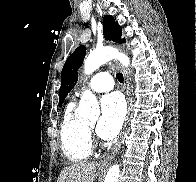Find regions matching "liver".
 Wrapping results in <instances>:
<instances>
[{"mask_svg":"<svg viewBox=\"0 0 196 182\" xmlns=\"http://www.w3.org/2000/svg\"><path fill=\"white\" fill-rule=\"evenodd\" d=\"M97 164L77 163L64 167L57 182H94Z\"/></svg>","mask_w":196,"mask_h":182,"instance_id":"obj_1","label":"liver"}]
</instances>
